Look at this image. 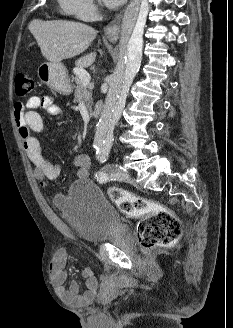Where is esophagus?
<instances>
[{
  "label": "esophagus",
  "mask_w": 233,
  "mask_h": 328,
  "mask_svg": "<svg viewBox=\"0 0 233 328\" xmlns=\"http://www.w3.org/2000/svg\"><path fill=\"white\" fill-rule=\"evenodd\" d=\"M122 18V11L118 13L112 21H110L104 28V36L110 41H116L120 34V23Z\"/></svg>",
  "instance_id": "obj_1"
}]
</instances>
